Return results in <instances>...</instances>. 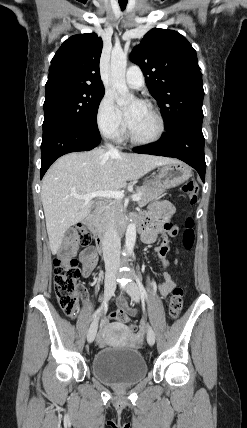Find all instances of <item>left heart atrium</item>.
I'll return each mask as SVG.
<instances>
[{
  "label": "left heart atrium",
  "mask_w": 247,
  "mask_h": 428,
  "mask_svg": "<svg viewBox=\"0 0 247 428\" xmlns=\"http://www.w3.org/2000/svg\"><path fill=\"white\" fill-rule=\"evenodd\" d=\"M144 104L140 101L134 102L129 109H127L124 113L125 122L129 127L131 123L134 121L140 110L143 108Z\"/></svg>",
  "instance_id": "left-heart-atrium-1"
}]
</instances>
